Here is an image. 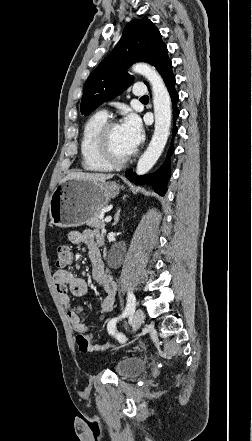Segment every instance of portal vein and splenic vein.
Returning a JSON list of instances; mask_svg holds the SVG:
<instances>
[{"instance_id":"18ae733b","label":"portal vein and splenic vein","mask_w":252,"mask_h":441,"mask_svg":"<svg viewBox=\"0 0 252 441\" xmlns=\"http://www.w3.org/2000/svg\"><path fill=\"white\" fill-rule=\"evenodd\" d=\"M111 220H112V218H111L110 216H107V217L105 218V222H107V223H109Z\"/></svg>"}]
</instances>
